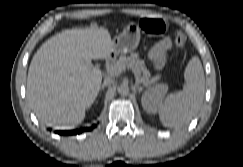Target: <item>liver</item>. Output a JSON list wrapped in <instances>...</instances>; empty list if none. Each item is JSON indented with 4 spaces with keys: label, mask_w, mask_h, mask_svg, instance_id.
Returning a JSON list of instances; mask_svg holds the SVG:
<instances>
[{
    "label": "liver",
    "mask_w": 243,
    "mask_h": 167,
    "mask_svg": "<svg viewBox=\"0 0 243 167\" xmlns=\"http://www.w3.org/2000/svg\"><path fill=\"white\" fill-rule=\"evenodd\" d=\"M113 42L107 29H74L46 41L34 56L29 89L41 122L56 129H72L95 101L102 72L92 59L108 58Z\"/></svg>",
    "instance_id": "liver-1"
}]
</instances>
